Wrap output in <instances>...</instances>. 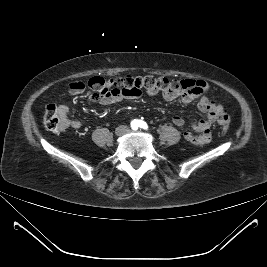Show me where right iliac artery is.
Masks as SVG:
<instances>
[{"mask_svg":"<svg viewBox=\"0 0 267 267\" xmlns=\"http://www.w3.org/2000/svg\"><path fill=\"white\" fill-rule=\"evenodd\" d=\"M131 127H132L133 130H137L138 129V123H137V121H133L131 123Z\"/></svg>","mask_w":267,"mask_h":267,"instance_id":"right-iliac-artery-1","label":"right iliac artery"}]
</instances>
